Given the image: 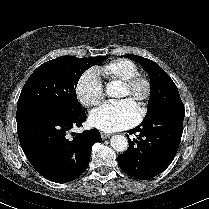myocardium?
I'll use <instances>...</instances> for the list:
<instances>
[{"label": "myocardium", "mask_w": 209, "mask_h": 209, "mask_svg": "<svg viewBox=\"0 0 209 209\" xmlns=\"http://www.w3.org/2000/svg\"><path fill=\"white\" fill-rule=\"evenodd\" d=\"M139 84H143L144 88H145L143 101H142L141 107L138 111V119L141 120L145 116V114L147 113L149 103L152 98L153 85H152L150 78L148 76L138 72V73L134 74L133 76H131L126 81L119 84V87L128 91V92H132L136 88V86Z\"/></svg>", "instance_id": "f54148a6"}]
</instances>
